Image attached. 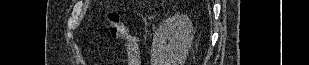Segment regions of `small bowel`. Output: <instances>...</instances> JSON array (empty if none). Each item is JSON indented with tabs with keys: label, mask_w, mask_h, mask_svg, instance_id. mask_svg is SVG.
<instances>
[{
	"label": "small bowel",
	"mask_w": 309,
	"mask_h": 65,
	"mask_svg": "<svg viewBox=\"0 0 309 65\" xmlns=\"http://www.w3.org/2000/svg\"><path fill=\"white\" fill-rule=\"evenodd\" d=\"M125 50L128 65H140L139 39L135 35L126 36Z\"/></svg>",
	"instance_id": "small-bowel-1"
}]
</instances>
